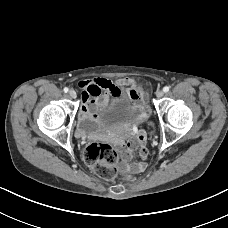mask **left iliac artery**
Listing matches in <instances>:
<instances>
[{"label":"left iliac artery","mask_w":228,"mask_h":228,"mask_svg":"<svg viewBox=\"0 0 228 228\" xmlns=\"http://www.w3.org/2000/svg\"><path fill=\"white\" fill-rule=\"evenodd\" d=\"M163 91L166 93V92H168L169 91V87L168 86H165L164 88H163Z\"/></svg>","instance_id":"1"}]
</instances>
